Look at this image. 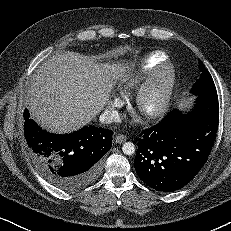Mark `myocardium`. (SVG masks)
<instances>
[{
  "instance_id": "1",
  "label": "myocardium",
  "mask_w": 231,
  "mask_h": 231,
  "mask_svg": "<svg viewBox=\"0 0 231 231\" xmlns=\"http://www.w3.org/2000/svg\"><path fill=\"white\" fill-rule=\"evenodd\" d=\"M176 84V67L170 60L161 62L139 89L137 106L148 119L162 117L169 109Z\"/></svg>"
}]
</instances>
